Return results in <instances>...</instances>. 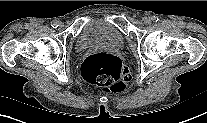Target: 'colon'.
<instances>
[{
    "mask_svg": "<svg viewBox=\"0 0 207 123\" xmlns=\"http://www.w3.org/2000/svg\"><path fill=\"white\" fill-rule=\"evenodd\" d=\"M82 77L100 90L123 92L131 80L128 67L116 56L106 53L87 57L81 66Z\"/></svg>",
    "mask_w": 207,
    "mask_h": 123,
    "instance_id": "5ec220e1",
    "label": "colon"
}]
</instances>
